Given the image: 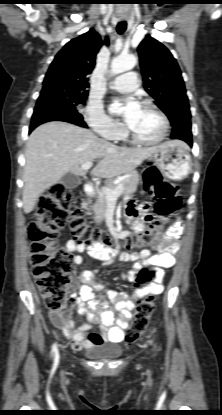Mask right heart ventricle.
<instances>
[{
    "instance_id": "right-heart-ventricle-1",
    "label": "right heart ventricle",
    "mask_w": 222,
    "mask_h": 415,
    "mask_svg": "<svg viewBox=\"0 0 222 415\" xmlns=\"http://www.w3.org/2000/svg\"><path fill=\"white\" fill-rule=\"evenodd\" d=\"M119 138H123L122 135H120Z\"/></svg>"
}]
</instances>
